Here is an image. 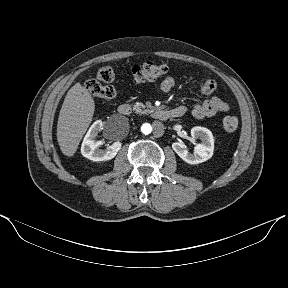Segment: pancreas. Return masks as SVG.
Here are the masks:
<instances>
[{
    "label": "pancreas",
    "mask_w": 288,
    "mask_h": 288,
    "mask_svg": "<svg viewBox=\"0 0 288 288\" xmlns=\"http://www.w3.org/2000/svg\"><path fill=\"white\" fill-rule=\"evenodd\" d=\"M133 110L139 114H147L151 112L150 109L146 108V106L140 102H137L133 105Z\"/></svg>",
    "instance_id": "1"
}]
</instances>
